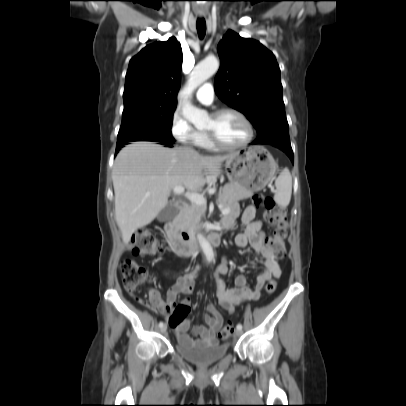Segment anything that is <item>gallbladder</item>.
I'll use <instances>...</instances> for the list:
<instances>
[{
	"mask_svg": "<svg viewBox=\"0 0 406 406\" xmlns=\"http://www.w3.org/2000/svg\"><path fill=\"white\" fill-rule=\"evenodd\" d=\"M175 217V211L172 202H168L167 205L157 215L159 222H166L172 220Z\"/></svg>",
	"mask_w": 406,
	"mask_h": 406,
	"instance_id": "bac80fb5",
	"label": "gallbladder"
}]
</instances>
